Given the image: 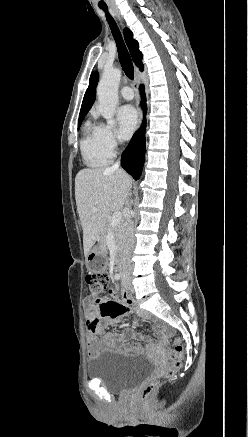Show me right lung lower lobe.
<instances>
[{"mask_svg":"<svg viewBox=\"0 0 248 437\" xmlns=\"http://www.w3.org/2000/svg\"><path fill=\"white\" fill-rule=\"evenodd\" d=\"M142 95V108L144 115L146 114V102L144 87H140ZM145 126L146 120L144 118L141 128L133 135L127 148L122 154L121 165L122 167L135 179H139L145 156Z\"/></svg>","mask_w":248,"mask_h":437,"instance_id":"1","label":"right lung lower lobe"}]
</instances>
